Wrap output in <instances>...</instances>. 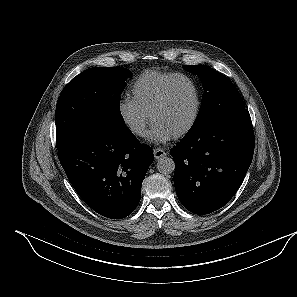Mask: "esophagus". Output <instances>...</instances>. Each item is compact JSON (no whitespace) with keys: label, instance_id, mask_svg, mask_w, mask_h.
<instances>
[{"label":"esophagus","instance_id":"1","mask_svg":"<svg viewBox=\"0 0 297 297\" xmlns=\"http://www.w3.org/2000/svg\"><path fill=\"white\" fill-rule=\"evenodd\" d=\"M154 152V157L155 159H159L161 157H164L167 153L164 149H161V148H156L153 150Z\"/></svg>","mask_w":297,"mask_h":297}]
</instances>
